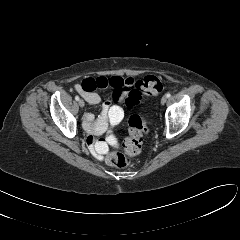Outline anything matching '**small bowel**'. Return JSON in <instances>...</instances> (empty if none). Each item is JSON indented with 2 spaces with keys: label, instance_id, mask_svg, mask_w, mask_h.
Masks as SVG:
<instances>
[{
  "label": "small bowel",
  "instance_id": "1",
  "mask_svg": "<svg viewBox=\"0 0 240 240\" xmlns=\"http://www.w3.org/2000/svg\"><path fill=\"white\" fill-rule=\"evenodd\" d=\"M134 84L135 80L131 77L100 76L97 78H85L80 84L74 86V90L92 105L101 101L97 90L110 88L113 91V103L105 101L98 118L89 113L84 115V125L90 134V143H93L94 137L100 136L108 125L115 126L121 122L124 116L121 104L130 95Z\"/></svg>",
  "mask_w": 240,
  "mask_h": 240
}]
</instances>
